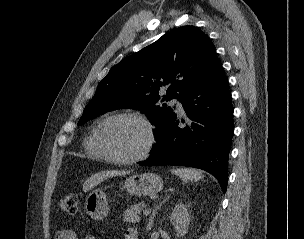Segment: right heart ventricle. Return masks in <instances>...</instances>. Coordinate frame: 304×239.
Listing matches in <instances>:
<instances>
[{
	"label": "right heart ventricle",
	"mask_w": 304,
	"mask_h": 239,
	"mask_svg": "<svg viewBox=\"0 0 304 239\" xmlns=\"http://www.w3.org/2000/svg\"><path fill=\"white\" fill-rule=\"evenodd\" d=\"M94 128L91 133L88 135V137L84 141V148L85 152L88 156L95 158V159H105L104 156L98 151L94 144Z\"/></svg>",
	"instance_id": "right-heart-ventricle-1"
}]
</instances>
